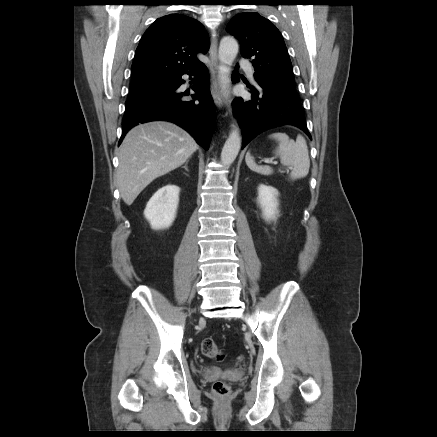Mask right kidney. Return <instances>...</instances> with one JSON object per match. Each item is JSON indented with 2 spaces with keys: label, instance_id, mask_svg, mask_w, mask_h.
Here are the masks:
<instances>
[{
  "label": "right kidney",
  "instance_id": "obj_1",
  "mask_svg": "<svg viewBox=\"0 0 437 437\" xmlns=\"http://www.w3.org/2000/svg\"><path fill=\"white\" fill-rule=\"evenodd\" d=\"M180 188L166 185L160 188L148 201L144 216L154 230L169 228L176 217Z\"/></svg>",
  "mask_w": 437,
  "mask_h": 437
}]
</instances>
